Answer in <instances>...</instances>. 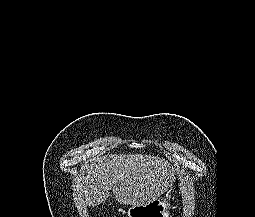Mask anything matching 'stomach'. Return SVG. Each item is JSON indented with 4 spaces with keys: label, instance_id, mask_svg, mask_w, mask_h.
Returning a JSON list of instances; mask_svg holds the SVG:
<instances>
[{
    "label": "stomach",
    "instance_id": "stomach-1",
    "mask_svg": "<svg viewBox=\"0 0 255 217\" xmlns=\"http://www.w3.org/2000/svg\"><path fill=\"white\" fill-rule=\"evenodd\" d=\"M173 209L170 197H159L152 202L140 206H131L126 211L127 217H170Z\"/></svg>",
    "mask_w": 255,
    "mask_h": 217
}]
</instances>
